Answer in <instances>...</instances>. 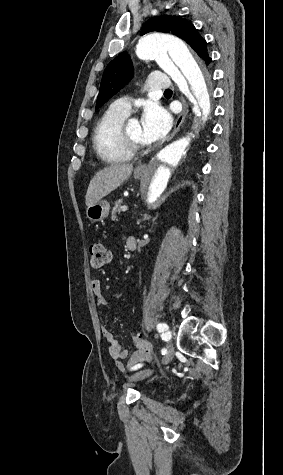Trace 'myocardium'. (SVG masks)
I'll return each mask as SVG.
<instances>
[{
  "instance_id": "1",
  "label": "myocardium",
  "mask_w": 283,
  "mask_h": 475,
  "mask_svg": "<svg viewBox=\"0 0 283 475\" xmlns=\"http://www.w3.org/2000/svg\"><path fill=\"white\" fill-rule=\"evenodd\" d=\"M149 147V143H137L127 135L125 125L120 128L119 134L111 145L100 150L99 155L105 159H117L123 162L132 161L142 155Z\"/></svg>"
}]
</instances>
